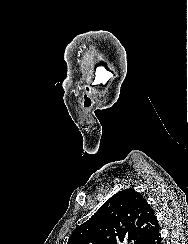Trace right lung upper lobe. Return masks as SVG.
<instances>
[{
  "mask_svg": "<svg viewBox=\"0 0 188 244\" xmlns=\"http://www.w3.org/2000/svg\"><path fill=\"white\" fill-rule=\"evenodd\" d=\"M158 226L150 205L130 188L108 199L67 244H146Z\"/></svg>",
  "mask_w": 188,
  "mask_h": 244,
  "instance_id": "cb5924a9",
  "label": "right lung upper lobe"
}]
</instances>
